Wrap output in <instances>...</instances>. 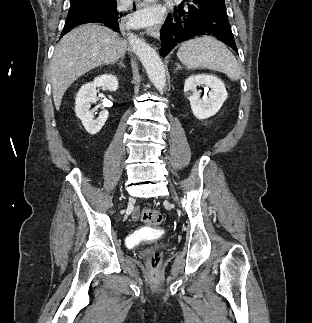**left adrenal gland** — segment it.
<instances>
[{
    "label": "left adrenal gland",
    "instance_id": "a2214340",
    "mask_svg": "<svg viewBox=\"0 0 312 323\" xmlns=\"http://www.w3.org/2000/svg\"><path fill=\"white\" fill-rule=\"evenodd\" d=\"M176 66H177L176 70H181L180 64H176Z\"/></svg>",
    "mask_w": 312,
    "mask_h": 323
}]
</instances>
